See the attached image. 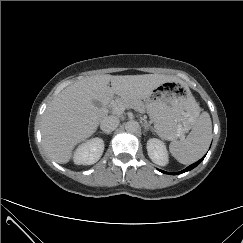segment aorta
<instances>
[{"label":"aorta","instance_id":"aorta-1","mask_svg":"<svg viewBox=\"0 0 243 243\" xmlns=\"http://www.w3.org/2000/svg\"><path fill=\"white\" fill-rule=\"evenodd\" d=\"M139 128V124L138 122L134 121V120H130L125 124V129L126 131L130 132V133H134L138 130Z\"/></svg>","mask_w":243,"mask_h":243}]
</instances>
